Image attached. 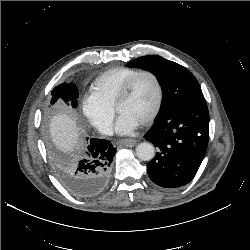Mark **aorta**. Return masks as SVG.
<instances>
[{
	"mask_svg": "<svg viewBox=\"0 0 250 250\" xmlns=\"http://www.w3.org/2000/svg\"><path fill=\"white\" fill-rule=\"evenodd\" d=\"M136 155L143 161H150L155 156V149L151 143L143 142L137 145Z\"/></svg>",
	"mask_w": 250,
	"mask_h": 250,
	"instance_id": "aorta-1",
	"label": "aorta"
}]
</instances>
